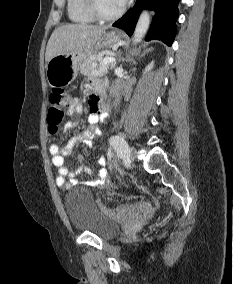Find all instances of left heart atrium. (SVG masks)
Instances as JSON below:
<instances>
[{
	"label": "left heart atrium",
	"instance_id": "obj_1",
	"mask_svg": "<svg viewBox=\"0 0 233 284\" xmlns=\"http://www.w3.org/2000/svg\"><path fill=\"white\" fill-rule=\"evenodd\" d=\"M120 6H123L127 3L128 0H116Z\"/></svg>",
	"mask_w": 233,
	"mask_h": 284
}]
</instances>
